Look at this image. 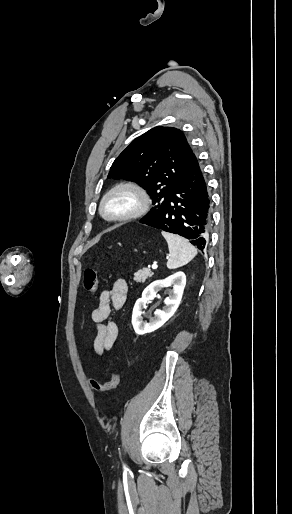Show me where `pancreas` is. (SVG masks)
Here are the masks:
<instances>
[{
	"mask_svg": "<svg viewBox=\"0 0 292 514\" xmlns=\"http://www.w3.org/2000/svg\"><path fill=\"white\" fill-rule=\"evenodd\" d=\"M154 276L153 272L151 270H148V268H143V270H138V272H135L133 280L135 282H146L147 278H152Z\"/></svg>",
	"mask_w": 292,
	"mask_h": 514,
	"instance_id": "1",
	"label": "pancreas"
}]
</instances>
